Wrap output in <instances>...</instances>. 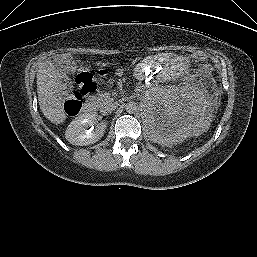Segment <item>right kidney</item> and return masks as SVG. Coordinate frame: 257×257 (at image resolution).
I'll return each instance as SVG.
<instances>
[{"label": "right kidney", "mask_w": 257, "mask_h": 257, "mask_svg": "<svg viewBox=\"0 0 257 257\" xmlns=\"http://www.w3.org/2000/svg\"><path fill=\"white\" fill-rule=\"evenodd\" d=\"M96 122L94 114H82L76 117L67 127L65 132L66 140L72 145L83 146L94 144L104 135L107 123L102 122L100 126L92 130L88 128Z\"/></svg>", "instance_id": "ca27d5eb"}]
</instances>
